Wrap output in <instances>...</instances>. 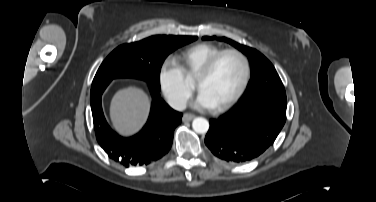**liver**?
I'll return each instance as SVG.
<instances>
[{"instance_id":"obj_1","label":"liver","mask_w":376,"mask_h":202,"mask_svg":"<svg viewBox=\"0 0 376 202\" xmlns=\"http://www.w3.org/2000/svg\"><path fill=\"white\" fill-rule=\"evenodd\" d=\"M149 108V97L142 89L128 87L119 90L110 105L113 127L123 136L136 134L145 124Z\"/></svg>"}]
</instances>
